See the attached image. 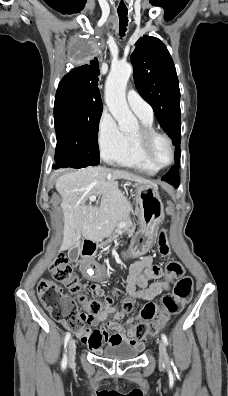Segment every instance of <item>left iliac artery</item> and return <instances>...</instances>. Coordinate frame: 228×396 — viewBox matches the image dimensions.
Here are the masks:
<instances>
[{"label": "left iliac artery", "instance_id": "left-iliac-artery-1", "mask_svg": "<svg viewBox=\"0 0 228 396\" xmlns=\"http://www.w3.org/2000/svg\"><path fill=\"white\" fill-rule=\"evenodd\" d=\"M161 338H162L164 344L167 345V344H168L167 336H166L165 334H162V335H161Z\"/></svg>", "mask_w": 228, "mask_h": 396}]
</instances>
